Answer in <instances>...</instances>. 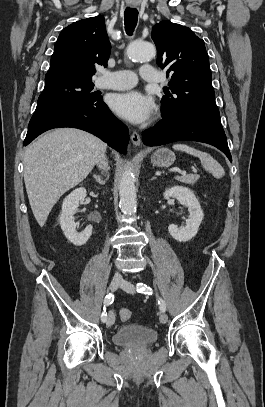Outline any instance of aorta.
Wrapping results in <instances>:
<instances>
[{"instance_id": "aorta-1", "label": "aorta", "mask_w": 265, "mask_h": 407, "mask_svg": "<svg viewBox=\"0 0 265 407\" xmlns=\"http://www.w3.org/2000/svg\"><path fill=\"white\" fill-rule=\"evenodd\" d=\"M127 55L134 61H150L156 55L153 44L147 42H133L127 49ZM120 207L124 212L136 211V188L134 175L130 167L125 168L119 184Z\"/></svg>"}]
</instances>
